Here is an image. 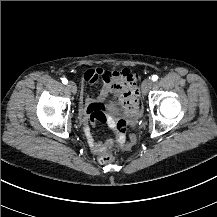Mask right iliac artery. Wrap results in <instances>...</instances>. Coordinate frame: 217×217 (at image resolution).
<instances>
[{
    "instance_id": "right-iliac-artery-1",
    "label": "right iliac artery",
    "mask_w": 217,
    "mask_h": 217,
    "mask_svg": "<svg viewBox=\"0 0 217 217\" xmlns=\"http://www.w3.org/2000/svg\"><path fill=\"white\" fill-rule=\"evenodd\" d=\"M62 83L63 84H67L68 83V80L66 78H62Z\"/></svg>"
}]
</instances>
